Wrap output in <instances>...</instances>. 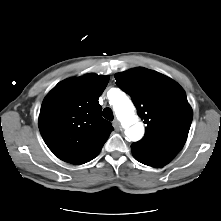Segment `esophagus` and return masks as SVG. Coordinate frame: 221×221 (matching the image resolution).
<instances>
[{"label": "esophagus", "instance_id": "obj_1", "mask_svg": "<svg viewBox=\"0 0 221 221\" xmlns=\"http://www.w3.org/2000/svg\"><path fill=\"white\" fill-rule=\"evenodd\" d=\"M113 127H114L116 130H119V129L121 128V124H120V122H119L117 119H115V120L113 121Z\"/></svg>", "mask_w": 221, "mask_h": 221}]
</instances>
